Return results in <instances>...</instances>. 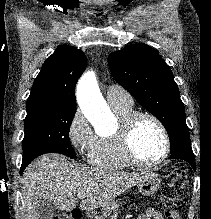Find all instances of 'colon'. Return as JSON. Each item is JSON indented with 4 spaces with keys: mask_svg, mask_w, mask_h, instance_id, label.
Segmentation results:
<instances>
[{
    "mask_svg": "<svg viewBox=\"0 0 211 219\" xmlns=\"http://www.w3.org/2000/svg\"><path fill=\"white\" fill-rule=\"evenodd\" d=\"M162 206L166 209L178 207L186 193V168L183 164H175L169 173L162 189ZM79 211L53 217L52 219H80Z\"/></svg>",
    "mask_w": 211,
    "mask_h": 219,
    "instance_id": "colon-1",
    "label": "colon"
}]
</instances>
